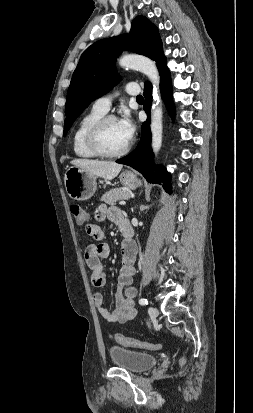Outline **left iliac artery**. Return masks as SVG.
<instances>
[{
  "instance_id": "44dca946",
  "label": "left iliac artery",
  "mask_w": 253,
  "mask_h": 413,
  "mask_svg": "<svg viewBox=\"0 0 253 413\" xmlns=\"http://www.w3.org/2000/svg\"><path fill=\"white\" fill-rule=\"evenodd\" d=\"M139 304H140V305H147V304H148V300H147L146 298H141V299L139 300Z\"/></svg>"
}]
</instances>
